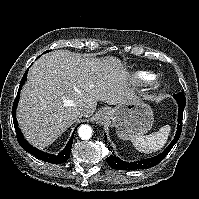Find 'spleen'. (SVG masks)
<instances>
[{"label":"spleen","instance_id":"obj_1","mask_svg":"<svg viewBox=\"0 0 199 199\" xmlns=\"http://www.w3.org/2000/svg\"><path fill=\"white\" fill-rule=\"evenodd\" d=\"M170 131L171 127L165 125L152 134L132 137L131 142L138 151L149 154L160 150L166 144Z\"/></svg>","mask_w":199,"mask_h":199}]
</instances>
